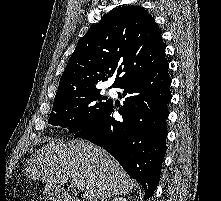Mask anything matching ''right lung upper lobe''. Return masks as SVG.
<instances>
[{"label":"right lung upper lobe","instance_id":"cb5924a9","mask_svg":"<svg viewBox=\"0 0 221 201\" xmlns=\"http://www.w3.org/2000/svg\"><path fill=\"white\" fill-rule=\"evenodd\" d=\"M164 54L161 32L144 8H116L78 42L55 98L94 89L116 71L112 87H118L132 77L157 68L166 60Z\"/></svg>","mask_w":221,"mask_h":201}]
</instances>
